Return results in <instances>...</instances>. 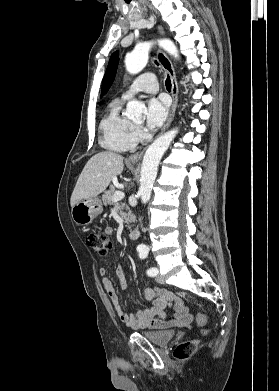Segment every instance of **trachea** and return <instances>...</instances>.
Segmentation results:
<instances>
[{"instance_id": "trachea-1", "label": "trachea", "mask_w": 279, "mask_h": 391, "mask_svg": "<svg viewBox=\"0 0 279 391\" xmlns=\"http://www.w3.org/2000/svg\"><path fill=\"white\" fill-rule=\"evenodd\" d=\"M156 64L158 65L157 61H156ZM165 85H166L167 90H171V80H170L169 75L167 76Z\"/></svg>"}]
</instances>
